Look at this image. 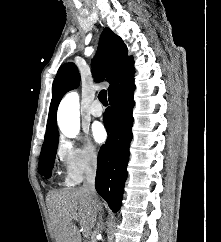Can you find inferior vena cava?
<instances>
[{
  "instance_id": "inferior-vena-cava-1",
  "label": "inferior vena cava",
  "mask_w": 221,
  "mask_h": 242,
  "mask_svg": "<svg viewBox=\"0 0 221 242\" xmlns=\"http://www.w3.org/2000/svg\"><path fill=\"white\" fill-rule=\"evenodd\" d=\"M95 176H96V162L93 161L90 163L85 170V177L84 182L82 186V190L85 191L92 199H97V193L95 190ZM99 210H101V207H99ZM101 215L99 216V219L101 220ZM98 229H99V223Z\"/></svg>"
}]
</instances>
